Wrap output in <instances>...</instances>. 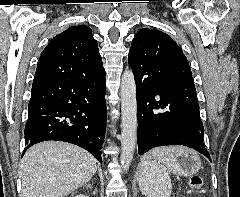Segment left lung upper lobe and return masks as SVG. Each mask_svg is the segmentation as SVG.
<instances>
[{
  "instance_id": "1",
  "label": "left lung upper lobe",
  "mask_w": 240,
  "mask_h": 197,
  "mask_svg": "<svg viewBox=\"0 0 240 197\" xmlns=\"http://www.w3.org/2000/svg\"><path fill=\"white\" fill-rule=\"evenodd\" d=\"M133 72L165 76L172 80L193 82L191 69L182 49L171 37L159 30L140 29L128 56Z\"/></svg>"
}]
</instances>
